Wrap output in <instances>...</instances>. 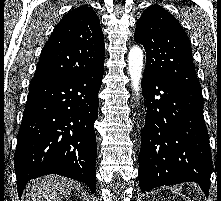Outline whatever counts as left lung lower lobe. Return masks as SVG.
<instances>
[{
    "label": "left lung lower lobe",
    "instance_id": "0a47b994",
    "mask_svg": "<svg viewBox=\"0 0 221 201\" xmlns=\"http://www.w3.org/2000/svg\"><path fill=\"white\" fill-rule=\"evenodd\" d=\"M142 92L146 119L138 156L141 191L194 181L208 196L212 157L201 89L144 72Z\"/></svg>",
    "mask_w": 221,
    "mask_h": 201
}]
</instances>
